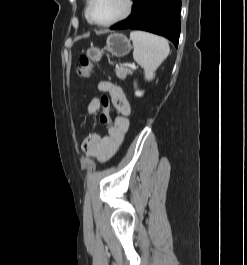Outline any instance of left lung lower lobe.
Returning <instances> with one entry per match:
<instances>
[{
	"label": "left lung lower lobe",
	"mask_w": 247,
	"mask_h": 265,
	"mask_svg": "<svg viewBox=\"0 0 247 265\" xmlns=\"http://www.w3.org/2000/svg\"><path fill=\"white\" fill-rule=\"evenodd\" d=\"M133 13L111 27L137 29L164 36L178 46L181 0H133Z\"/></svg>",
	"instance_id": "1"
}]
</instances>
